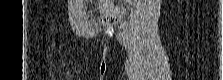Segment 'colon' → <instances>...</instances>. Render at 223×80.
<instances>
[{
  "label": "colon",
  "mask_w": 223,
  "mask_h": 80,
  "mask_svg": "<svg viewBox=\"0 0 223 80\" xmlns=\"http://www.w3.org/2000/svg\"><path fill=\"white\" fill-rule=\"evenodd\" d=\"M101 21L106 25L113 24L116 21V15L113 13H106L101 17Z\"/></svg>",
  "instance_id": "colon-1"
}]
</instances>
